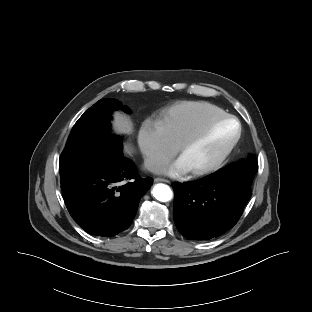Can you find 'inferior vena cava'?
Returning a JSON list of instances; mask_svg holds the SVG:
<instances>
[{
	"mask_svg": "<svg viewBox=\"0 0 312 312\" xmlns=\"http://www.w3.org/2000/svg\"><path fill=\"white\" fill-rule=\"evenodd\" d=\"M144 167L153 173H160L164 168L161 162L151 159H146L144 161Z\"/></svg>",
	"mask_w": 312,
	"mask_h": 312,
	"instance_id": "1",
	"label": "inferior vena cava"
}]
</instances>
